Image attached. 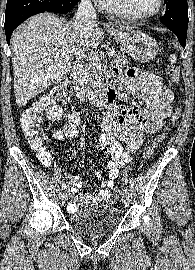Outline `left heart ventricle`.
<instances>
[{
    "label": "left heart ventricle",
    "mask_w": 195,
    "mask_h": 270,
    "mask_svg": "<svg viewBox=\"0 0 195 270\" xmlns=\"http://www.w3.org/2000/svg\"><path fill=\"white\" fill-rule=\"evenodd\" d=\"M159 0H130L132 7L138 13H151L156 10Z\"/></svg>",
    "instance_id": "1"
}]
</instances>
